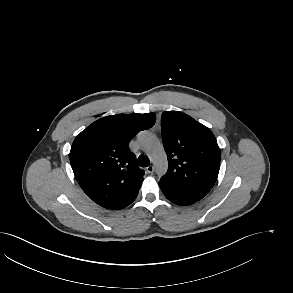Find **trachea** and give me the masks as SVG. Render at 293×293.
I'll return each instance as SVG.
<instances>
[{
	"label": "trachea",
	"instance_id": "3493384b",
	"mask_svg": "<svg viewBox=\"0 0 293 293\" xmlns=\"http://www.w3.org/2000/svg\"><path fill=\"white\" fill-rule=\"evenodd\" d=\"M149 164H150V160H149V158L147 156L140 155L138 157V165L140 167H147V166H149Z\"/></svg>",
	"mask_w": 293,
	"mask_h": 293
}]
</instances>
